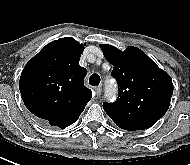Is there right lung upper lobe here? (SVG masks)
<instances>
[{
    "instance_id": "obj_1",
    "label": "right lung upper lobe",
    "mask_w": 190,
    "mask_h": 165,
    "mask_svg": "<svg viewBox=\"0 0 190 165\" xmlns=\"http://www.w3.org/2000/svg\"><path fill=\"white\" fill-rule=\"evenodd\" d=\"M83 50L73 38H60L47 44L21 73L25 106L52 126L65 129L77 121L92 97L83 83L87 70L79 65Z\"/></svg>"
}]
</instances>
